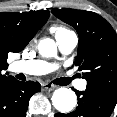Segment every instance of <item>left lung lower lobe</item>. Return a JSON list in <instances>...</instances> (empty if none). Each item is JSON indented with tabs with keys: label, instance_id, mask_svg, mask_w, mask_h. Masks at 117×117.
Returning a JSON list of instances; mask_svg holds the SVG:
<instances>
[{
	"label": "left lung lower lobe",
	"instance_id": "1",
	"mask_svg": "<svg viewBox=\"0 0 117 117\" xmlns=\"http://www.w3.org/2000/svg\"><path fill=\"white\" fill-rule=\"evenodd\" d=\"M78 97L77 109L69 114L57 113L55 117H109L117 103V94L102 90H75Z\"/></svg>",
	"mask_w": 117,
	"mask_h": 117
}]
</instances>
